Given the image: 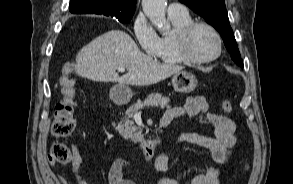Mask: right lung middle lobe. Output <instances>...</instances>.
Masks as SVG:
<instances>
[{"instance_id":"dd1d6c3e","label":"right lung middle lobe","mask_w":293,"mask_h":184,"mask_svg":"<svg viewBox=\"0 0 293 184\" xmlns=\"http://www.w3.org/2000/svg\"><path fill=\"white\" fill-rule=\"evenodd\" d=\"M132 18L131 17H120V18H117L120 22L124 23V22H128L130 19Z\"/></svg>"}]
</instances>
